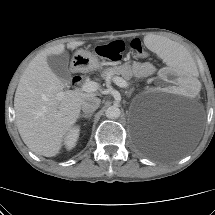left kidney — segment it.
<instances>
[{
	"label": "left kidney",
	"instance_id": "obj_1",
	"mask_svg": "<svg viewBox=\"0 0 215 215\" xmlns=\"http://www.w3.org/2000/svg\"><path fill=\"white\" fill-rule=\"evenodd\" d=\"M161 89L179 96H195L198 93L196 80L185 72L166 68L161 72Z\"/></svg>",
	"mask_w": 215,
	"mask_h": 215
}]
</instances>
